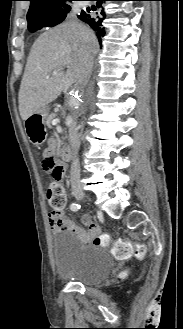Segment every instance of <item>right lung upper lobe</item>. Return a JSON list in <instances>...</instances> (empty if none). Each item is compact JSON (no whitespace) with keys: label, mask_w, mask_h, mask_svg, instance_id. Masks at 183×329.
<instances>
[{"label":"right lung upper lobe","mask_w":183,"mask_h":329,"mask_svg":"<svg viewBox=\"0 0 183 329\" xmlns=\"http://www.w3.org/2000/svg\"><path fill=\"white\" fill-rule=\"evenodd\" d=\"M30 8L27 14L28 24L32 22H46L53 19L57 9L72 0H28Z\"/></svg>","instance_id":"cb5924a9"}]
</instances>
